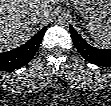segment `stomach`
Segmentation results:
<instances>
[{
  "instance_id": "stomach-1",
  "label": "stomach",
  "mask_w": 111,
  "mask_h": 106,
  "mask_svg": "<svg viewBox=\"0 0 111 106\" xmlns=\"http://www.w3.org/2000/svg\"><path fill=\"white\" fill-rule=\"evenodd\" d=\"M72 5L85 20L103 19L111 11L110 0H74Z\"/></svg>"
}]
</instances>
